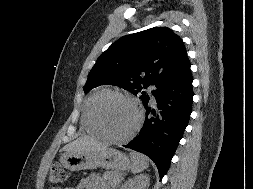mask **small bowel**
Wrapping results in <instances>:
<instances>
[{"label": "small bowel", "mask_w": 253, "mask_h": 189, "mask_svg": "<svg viewBox=\"0 0 253 189\" xmlns=\"http://www.w3.org/2000/svg\"><path fill=\"white\" fill-rule=\"evenodd\" d=\"M100 178L97 175H91L82 179L76 186L66 187L65 189H103ZM52 189H61L54 187Z\"/></svg>", "instance_id": "1"}]
</instances>
